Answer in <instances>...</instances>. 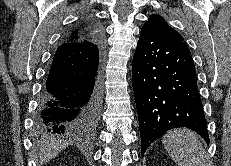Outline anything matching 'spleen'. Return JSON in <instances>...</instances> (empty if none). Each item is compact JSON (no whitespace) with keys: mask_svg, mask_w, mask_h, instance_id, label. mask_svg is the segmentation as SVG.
I'll return each mask as SVG.
<instances>
[{"mask_svg":"<svg viewBox=\"0 0 231 166\" xmlns=\"http://www.w3.org/2000/svg\"><path fill=\"white\" fill-rule=\"evenodd\" d=\"M162 143L178 166H208V155L195 132L174 129L163 136Z\"/></svg>","mask_w":231,"mask_h":166,"instance_id":"obj_1","label":"spleen"}]
</instances>
